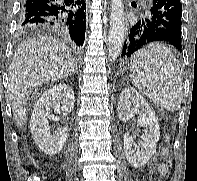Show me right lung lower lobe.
<instances>
[{"mask_svg":"<svg viewBox=\"0 0 197 181\" xmlns=\"http://www.w3.org/2000/svg\"><path fill=\"white\" fill-rule=\"evenodd\" d=\"M85 10V0H23L19 25L52 29L82 46L86 29Z\"/></svg>","mask_w":197,"mask_h":181,"instance_id":"98d812e1","label":"right lung lower lobe"}]
</instances>
